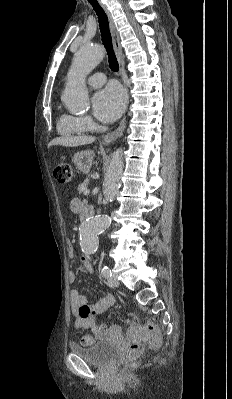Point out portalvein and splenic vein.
<instances>
[{
	"mask_svg": "<svg viewBox=\"0 0 232 399\" xmlns=\"http://www.w3.org/2000/svg\"><path fill=\"white\" fill-rule=\"evenodd\" d=\"M84 196H89V190H85V192H83Z\"/></svg>",
	"mask_w": 232,
	"mask_h": 399,
	"instance_id": "obj_1",
	"label": "portal vein and splenic vein"
}]
</instances>
